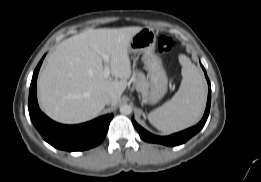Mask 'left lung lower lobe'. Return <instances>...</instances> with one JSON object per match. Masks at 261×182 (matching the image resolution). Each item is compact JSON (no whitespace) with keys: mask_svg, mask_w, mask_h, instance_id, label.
Masks as SVG:
<instances>
[{"mask_svg":"<svg viewBox=\"0 0 261 182\" xmlns=\"http://www.w3.org/2000/svg\"><path fill=\"white\" fill-rule=\"evenodd\" d=\"M202 68L205 72V76H206V79L208 82V100H207V106H206V110H205L202 120L196 126L191 127L182 132L172 134L170 136H157V135H153V134L149 133L148 131H146L144 128H142L140 125H138L136 123V121L132 118V122H133L136 130L138 131L140 137L143 140H145L147 142L159 143V144H163V145H167V146H176V145L185 143L188 139H190L192 136L197 134L203 128V126L208 118L209 110H210L211 85H210V81L207 77L205 68L203 66H202Z\"/></svg>","mask_w":261,"mask_h":182,"instance_id":"left-lung-lower-lobe-1","label":"left lung lower lobe"}]
</instances>
